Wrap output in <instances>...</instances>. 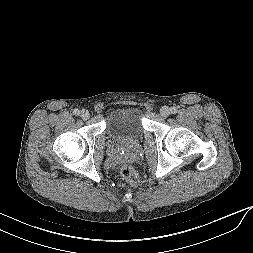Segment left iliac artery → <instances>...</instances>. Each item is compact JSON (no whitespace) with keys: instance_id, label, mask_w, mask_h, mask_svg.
Masks as SVG:
<instances>
[{"instance_id":"left-iliac-artery-1","label":"left iliac artery","mask_w":253,"mask_h":253,"mask_svg":"<svg viewBox=\"0 0 253 253\" xmlns=\"http://www.w3.org/2000/svg\"><path fill=\"white\" fill-rule=\"evenodd\" d=\"M176 112H177L176 107H171V113H172V114H175Z\"/></svg>"}]
</instances>
